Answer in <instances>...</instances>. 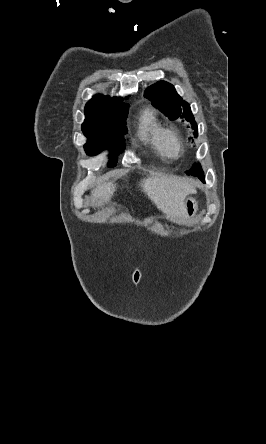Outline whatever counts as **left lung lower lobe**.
I'll return each mask as SVG.
<instances>
[{
  "label": "left lung lower lobe",
  "mask_w": 266,
  "mask_h": 444,
  "mask_svg": "<svg viewBox=\"0 0 266 444\" xmlns=\"http://www.w3.org/2000/svg\"><path fill=\"white\" fill-rule=\"evenodd\" d=\"M187 174L195 175L204 181L203 171L200 165H195L190 171L187 172Z\"/></svg>",
  "instance_id": "1"
}]
</instances>
